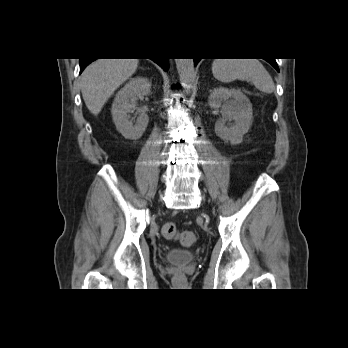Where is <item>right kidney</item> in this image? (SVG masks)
Listing matches in <instances>:
<instances>
[{
	"mask_svg": "<svg viewBox=\"0 0 348 348\" xmlns=\"http://www.w3.org/2000/svg\"><path fill=\"white\" fill-rule=\"evenodd\" d=\"M151 83L147 78L136 77L116 94L111 113L117 130L130 140L139 139L145 132L149 117L145 111H141L135 124L130 120V113L136 107L139 97L149 95Z\"/></svg>",
	"mask_w": 348,
	"mask_h": 348,
	"instance_id": "obj_1",
	"label": "right kidney"
}]
</instances>
